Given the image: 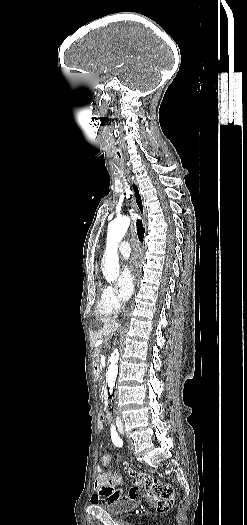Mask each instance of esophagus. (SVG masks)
<instances>
[{
  "instance_id": "obj_1",
  "label": "esophagus",
  "mask_w": 247,
  "mask_h": 525,
  "mask_svg": "<svg viewBox=\"0 0 247 525\" xmlns=\"http://www.w3.org/2000/svg\"><path fill=\"white\" fill-rule=\"evenodd\" d=\"M131 183H132V190L134 192V200H135L136 207L138 208L140 214L143 216L145 227H146L147 226L146 211H145L143 197H142L139 185L136 182V180H132Z\"/></svg>"
}]
</instances>
